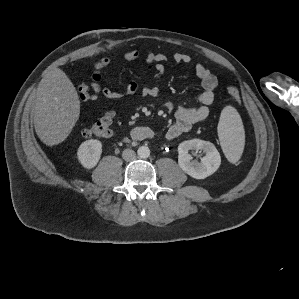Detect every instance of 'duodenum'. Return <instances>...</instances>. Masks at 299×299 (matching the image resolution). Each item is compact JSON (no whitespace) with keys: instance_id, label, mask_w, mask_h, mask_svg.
I'll return each mask as SVG.
<instances>
[{"instance_id":"1","label":"duodenum","mask_w":299,"mask_h":299,"mask_svg":"<svg viewBox=\"0 0 299 299\" xmlns=\"http://www.w3.org/2000/svg\"><path fill=\"white\" fill-rule=\"evenodd\" d=\"M152 135V131L146 127H140L134 131V138L137 140H144L152 137Z\"/></svg>"}]
</instances>
